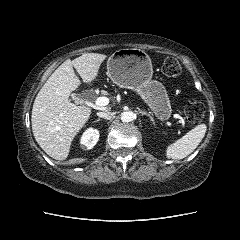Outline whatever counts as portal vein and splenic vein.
<instances>
[{
    "mask_svg": "<svg viewBox=\"0 0 240 240\" xmlns=\"http://www.w3.org/2000/svg\"><path fill=\"white\" fill-rule=\"evenodd\" d=\"M108 103H109V99L107 97H104V96L98 97L95 100V104L97 106H106V105H108ZM173 117L176 118V119H179L180 122L182 123V125H184V120H183L182 116H180L179 114H174Z\"/></svg>",
    "mask_w": 240,
    "mask_h": 240,
    "instance_id": "portal-vein-and-splenic-vein-1",
    "label": "portal vein and splenic vein"
}]
</instances>
